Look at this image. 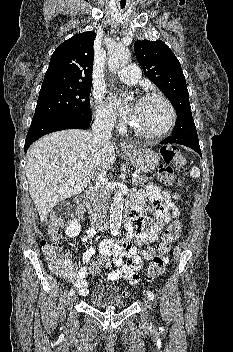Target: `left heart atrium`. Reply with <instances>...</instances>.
I'll return each instance as SVG.
<instances>
[{"mask_svg":"<svg viewBox=\"0 0 233 352\" xmlns=\"http://www.w3.org/2000/svg\"><path fill=\"white\" fill-rule=\"evenodd\" d=\"M124 118L127 120H132L133 118V114H134V108L133 106L126 108V109H122Z\"/></svg>","mask_w":233,"mask_h":352,"instance_id":"1","label":"left heart atrium"}]
</instances>
